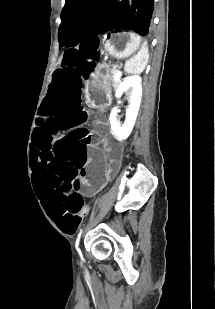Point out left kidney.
<instances>
[{
	"label": "left kidney",
	"instance_id": "1",
	"mask_svg": "<svg viewBox=\"0 0 215 309\" xmlns=\"http://www.w3.org/2000/svg\"><path fill=\"white\" fill-rule=\"evenodd\" d=\"M140 80L141 78L140 76H137V74H135V76H127V78L119 84L116 90L115 96L119 98V96H122L123 92H128L129 88H132L131 96L129 98L130 104H128V108H126L124 124H121L119 118H117V106H114L110 112L109 120L111 122L112 132L118 140H125V138H128L135 124L142 96Z\"/></svg>",
	"mask_w": 215,
	"mask_h": 309
}]
</instances>
